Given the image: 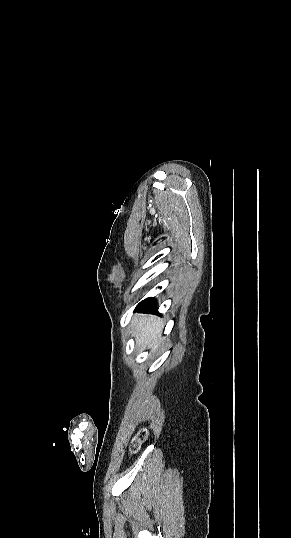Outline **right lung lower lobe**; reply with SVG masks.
Returning a JSON list of instances; mask_svg holds the SVG:
<instances>
[{
    "mask_svg": "<svg viewBox=\"0 0 291 538\" xmlns=\"http://www.w3.org/2000/svg\"><path fill=\"white\" fill-rule=\"evenodd\" d=\"M135 311L158 313L157 303L153 297H149L141 301L135 308Z\"/></svg>",
    "mask_w": 291,
    "mask_h": 538,
    "instance_id": "1",
    "label": "right lung lower lobe"
}]
</instances>
